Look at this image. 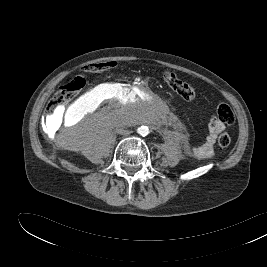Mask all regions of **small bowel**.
<instances>
[{
	"label": "small bowel",
	"mask_w": 267,
	"mask_h": 267,
	"mask_svg": "<svg viewBox=\"0 0 267 267\" xmlns=\"http://www.w3.org/2000/svg\"><path fill=\"white\" fill-rule=\"evenodd\" d=\"M65 114V111L62 109H58L56 112V116L58 118H64ZM208 128L209 133L206 140L202 144L191 146L187 142H184L183 147L188 154L199 159H206L213 156L214 144L218 134L224 130L225 123L217 115H213L210 119Z\"/></svg>",
	"instance_id": "c3829d8e"
}]
</instances>
